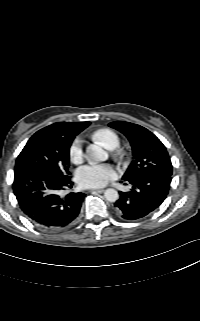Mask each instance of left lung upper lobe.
Instances as JSON below:
<instances>
[{
	"mask_svg": "<svg viewBox=\"0 0 200 321\" xmlns=\"http://www.w3.org/2000/svg\"><path fill=\"white\" fill-rule=\"evenodd\" d=\"M110 127L122 132L130 141L133 161L124 178L137 177L151 173L172 175V164L162 142L146 128L124 121H114Z\"/></svg>",
	"mask_w": 200,
	"mask_h": 321,
	"instance_id": "left-lung-upper-lobe-1",
	"label": "left lung upper lobe"
}]
</instances>
